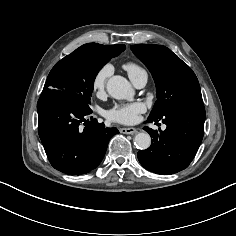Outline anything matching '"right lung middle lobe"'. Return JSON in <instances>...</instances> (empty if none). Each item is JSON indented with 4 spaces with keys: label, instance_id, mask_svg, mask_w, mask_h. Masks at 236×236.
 I'll use <instances>...</instances> for the list:
<instances>
[{
    "label": "right lung middle lobe",
    "instance_id": "right-lung-middle-lobe-1",
    "mask_svg": "<svg viewBox=\"0 0 236 236\" xmlns=\"http://www.w3.org/2000/svg\"><path fill=\"white\" fill-rule=\"evenodd\" d=\"M115 56L101 49H76L52 68L43 91H63L82 107L90 108L95 77L103 65Z\"/></svg>",
    "mask_w": 236,
    "mask_h": 236
}]
</instances>
